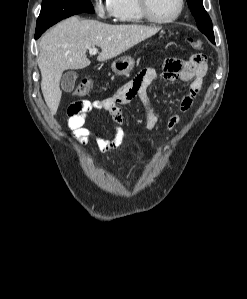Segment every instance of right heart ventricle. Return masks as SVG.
<instances>
[{
	"mask_svg": "<svg viewBox=\"0 0 247 299\" xmlns=\"http://www.w3.org/2000/svg\"><path fill=\"white\" fill-rule=\"evenodd\" d=\"M111 8L113 17L119 22L137 24L145 21L137 0H112Z\"/></svg>",
	"mask_w": 247,
	"mask_h": 299,
	"instance_id": "1",
	"label": "right heart ventricle"
}]
</instances>
